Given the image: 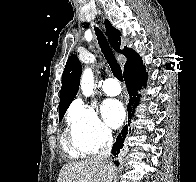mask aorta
I'll list each match as a JSON object with an SVG mask.
<instances>
[{
  "mask_svg": "<svg viewBox=\"0 0 196 182\" xmlns=\"http://www.w3.org/2000/svg\"><path fill=\"white\" fill-rule=\"evenodd\" d=\"M80 85L82 92L86 97H89L93 93L94 76L91 68H86L83 71Z\"/></svg>",
  "mask_w": 196,
  "mask_h": 182,
  "instance_id": "1",
  "label": "aorta"
}]
</instances>
